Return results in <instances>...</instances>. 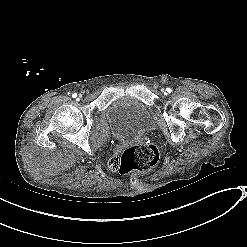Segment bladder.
<instances>
[{
  "label": "bladder",
  "mask_w": 247,
  "mask_h": 247,
  "mask_svg": "<svg viewBox=\"0 0 247 247\" xmlns=\"http://www.w3.org/2000/svg\"><path fill=\"white\" fill-rule=\"evenodd\" d=\"M115 139L121 142L143 140L153 129L151 107L140 99L122 95L105 108Z\"/></svg>",
  "instance_id": "bladder-1"
}]
</instances>
